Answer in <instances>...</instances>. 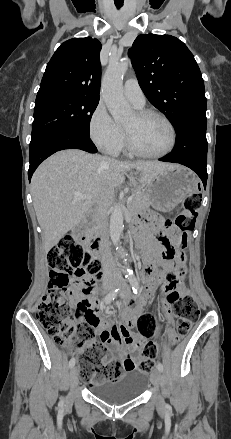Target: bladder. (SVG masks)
I'll return each mask as SVG.
<instances>
[{"label": "bladder", "mask_w": 231, "mask_h": 439, "mask_svg": "<svg viewBox=\"0 0 231 439\" xmlns=\"http://www.w3.org/2000/svg\"><path fill=\"white\" fill-rule=\"evenodd\" d=\"M151 376L140 368L125 370L123 377L117 381H105L89 387L96 398L112 405L133 401L147 389Z\"/></svg>", "instance_id": "obj_1"}]
</instances>
